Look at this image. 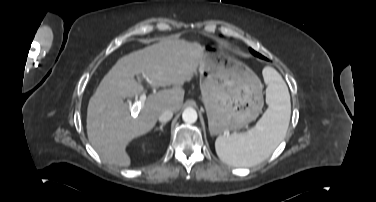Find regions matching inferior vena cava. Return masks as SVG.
<instances>
[{
    "label": "inferior vena cava",
    "mask_w": 376,
    "mask_h": 202,
    "mask_svg": "<svg viewBox=\"0 0 376 202\" xmlns=\"http://www.w3.org/2000/svg\"><path fill=\"white\" fill-rule=\"evenodd\" d=\"M173 117V111L167 109L165 110L160 116H159V121L162 122V123H166L168 122L169 120H171V118Z\"/></svg>",
    "instance_id": "1"
}]
</instances>
